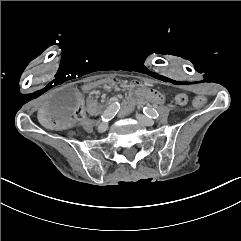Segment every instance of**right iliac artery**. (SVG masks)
I'll return each mask as SVG.
<instances>
[{
  "mask_svg": "<svg viewBox=\"0 0 241 241\" xmlns=\"http://www.w3.org/2000/svg\"><path fill=\"white\" fill-rule=\"evenodd\" d=\"M119 109H120V106L118 102L112 103L101 116V120L104 122H108L117 114Z\"/></svg>",
  "mask_w": 241,
  "mask_h": 241,
  "instance_id": "obj_1",
  "label": "right iliac artery"
}]
</instances>
